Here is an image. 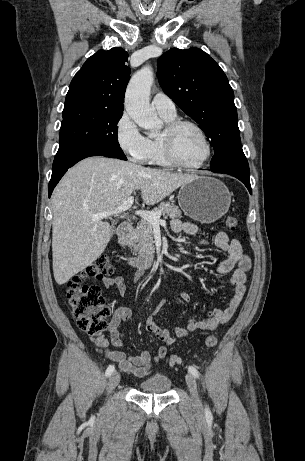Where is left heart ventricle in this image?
I'll use <instances>...</instances> for the list:
<instances>
[{
	"mask_svg": "<svg viewBox=\"0 0 305 461\" xmlns=\"http://www.w3.org/2000/svg\"><path fill=\"white\" fill-rule=\"evenodd\" d=\"M175 150L180 160L187 164L200 162L206 154V147L201 136L189 126L179 130L176 136Z\"/></svg>",
	"mask_w": 305,
	"mask_h": 461,
	"instance_id": "obj_1",
	"label": "left heart ventricle"
}]
</instances>
